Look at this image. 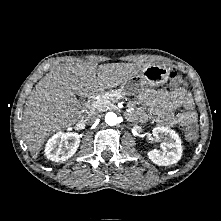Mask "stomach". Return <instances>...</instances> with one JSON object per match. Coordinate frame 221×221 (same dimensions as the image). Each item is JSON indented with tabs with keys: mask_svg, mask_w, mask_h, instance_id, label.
<instances>
[{
	"mask_svg": "<svg viewBox=\"0 0 221 221\" xmlns=\"http://www.w3.org/2000/svg\"><path fill=\"white\" fill-rule=\"evenodd\" d=\"M169 69L161 65H148L142 69L138 76H134L125 84H122L121 90L125 94H137L145 87H158L163 85L169 78Z\"/></svg>",
	"mask_w": 221,
	"mask_h": 221,
	"instance_id": "0dacf381",
	"label": "stomach"
}]
</instances>
